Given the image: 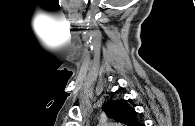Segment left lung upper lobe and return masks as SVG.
Returning <instances> with one entry per match:
<instances>
[{"instance_id":"5c2ea615","label":"left lung upper lobe","mask_w":195,"mask_h":126,"mask_svg":"<svg viewBox=\"0 0 195 126\" xmlns=\"http://www.w3.org/2000/svg\"><path fill=\"white\" fill-rule=\"evenodd\" d=\"M102 108L108 117L115 119L117 122L127 126H138L140 124L136 117V111L128 108L125 100L108 101L103 104Z\"/></svg>"}]
</instances>
